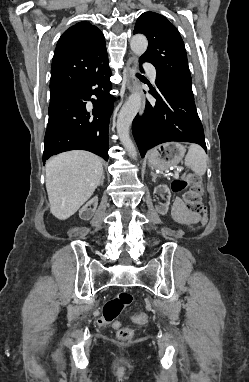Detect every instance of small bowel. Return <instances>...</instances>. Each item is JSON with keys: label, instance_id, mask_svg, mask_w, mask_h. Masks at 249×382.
<instances>
[{"label": "small bowel", "instance_id": "1", "mask_svg": "<svg viewBox=\"0 0 249 382\" xmlns=\"http://www.w3.org/2000/svg\"><path fill=\"white\" fill-rule=\"evenodd\" d=\"M173 215L176 221L187 226H193L199 220L195 213L187 211L180 199H176L173 204Z\"/></svg>", "mask_w": 249, "mask_h": 382}]
</instances>
